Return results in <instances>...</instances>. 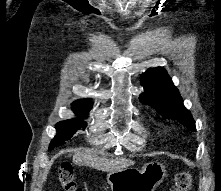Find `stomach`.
Returning a JSON list of instances; mask_svg holds the SVG:
<instances>
[{
  "instance_id": "0dacf381",
  "label": "stomach",
  "mask_w": 221,
  "mask_h": 191,
  "mask_svg": "<svg viewBox=\"0 0 221 191\" xmlns=\"http://www.w3.org/2000/svg\"><path fill=\"white\" fill-rule=\"evenodd\" d=\"M166 170L160 162H150L142 169L128 167L109 172L107 181L112 191H154L163 181Z\"/></svg>"
}]
</instances>
